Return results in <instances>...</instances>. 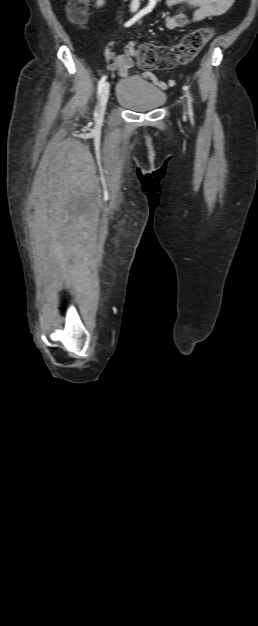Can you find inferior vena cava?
<instances>
[{
    "label": "inferior vena cava",
    "instance_id": "obj_1",
    "mask_svg": "<svg viewBox=\"0 0 258 626\" xmlns=\"http://www.w3.org/2000/svg\"><path fill=\"white\" fill-rule=\"evenodd\" d=\"M140 6V0H132L131 2V11L136 12Z\"/></svg>",
    "mask_w": 258,
    "mask_h": 626
}]
</instances>
